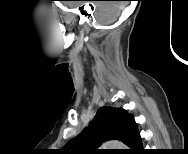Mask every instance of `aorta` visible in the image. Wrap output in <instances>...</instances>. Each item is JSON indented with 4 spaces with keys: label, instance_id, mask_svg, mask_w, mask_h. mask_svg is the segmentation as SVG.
Here are the masks:
<instances>
[{
    "label": "aorta",
    "instance_id": "aorta-1",
    "mask_svg": "<svg viewBox=\"0 0 188 154\" xmlns=\"http://www.w3.org/2000/svg\"><path fill=\"white\" fill-rule=\"evenodd\" d=\"M102 147L106 149H125V145L117 140H111L103 143Z\"/></svg>",
    "mask_w": 188,
    "mask_h": 154
}]
</instances>
